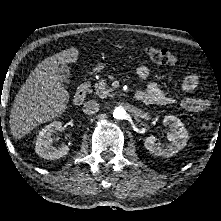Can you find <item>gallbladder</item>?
Returning <instances> with one entry per match:
<instances>
[{"mask_svg": "<svg viewBox=\"0 0 221 221\" xmlns=\"http://www.w3.org/2000/svg\"><path fill=\"white\" fill-rule=\"evenodd\" d=\"M58 74L62 82L69 83L70 70L67 65H60Z\"/></svg>", "mask_w": 221, "mask_h": 221, "instance_id": "bac80fb5", "label": "gallbladder"}]
</instances>
